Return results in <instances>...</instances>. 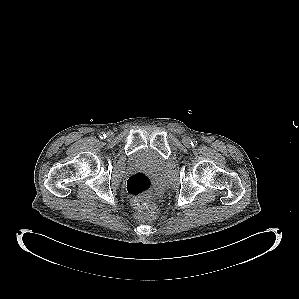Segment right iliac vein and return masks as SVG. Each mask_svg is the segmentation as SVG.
<instances>
[{"mask_svg":"<svg viewBox=\"0 0 299 299\" xmlns=\"http://www.w3.org/2000/svg\"><path fill=\"white\" fill-rule=\"evenodd\" d=\"M112 135H113V133H112V132H109V133H108V136H109V137H111Z\"/></svg>","mask_w":299,"mask_h":299,"instance_id":"right-iliac-vein-1","label":"right iliac vein"}]
</instances>
